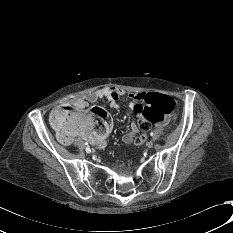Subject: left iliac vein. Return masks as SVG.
<instances>
[{
	"mask_svg": "<svg viewBox=\"0 0 233 233\" xmlns=\"http://www.w3.org/2000/svg\"><path fill=\"white\" fill-rule=\"evenodd\" d=\"M153 146H154V143H153L152 141H149V142L147 143V147H148L149 149L153 148Z\"/></svg>",
	"mask_w": 233,
	"mask_h": 233,
	"instance_id": "1",
	"label": "left iliac vein"
}]
</instances>
